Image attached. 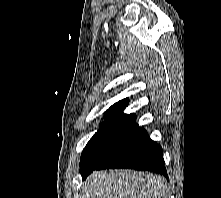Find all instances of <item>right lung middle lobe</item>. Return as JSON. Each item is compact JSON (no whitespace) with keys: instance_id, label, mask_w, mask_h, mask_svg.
Listing matches in <instances>:
<instances>
[{"instance_id":"right-lung-middle-lobe-1","label":"right lung middle lobe","mask_w":221,"mask_h":198,"mask_svg":"<svg viewBox=\"0 0 221 198\" xmlns=\"http://www.w3.org/2000/svg\"><path fill=\"white\" fill-rule=\"evenodd\" d=\"M141 129L138 124L133 122L110 121L102 123L81 154V175H85L105 162L131 141Z\"/></svg>"}]
</instances>
